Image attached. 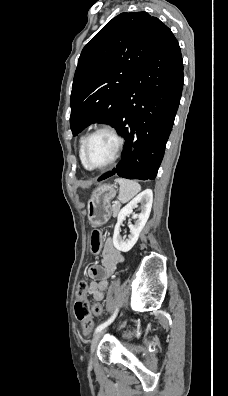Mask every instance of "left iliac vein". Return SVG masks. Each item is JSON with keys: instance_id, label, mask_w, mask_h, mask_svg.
<instances>
[{"instance_id": "obj_1", "label": "left iliac vein", "mask_w": 228, "mask_h": 396, "mask_svg": "<svg viewBox=\"0 0 228 396\" xmlns=\"http://www.w3.org/2000/svg\"><path fill=\"white\" fill-rule=\"evenodd\" d=\"M106 332V329H102L101 331L95 333L91 340L90 352H91V359L93 357L94 351L97 347L98 342L100 341L103 334Z\"/></svg>"}]
</instances>
